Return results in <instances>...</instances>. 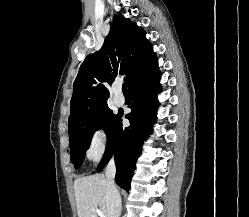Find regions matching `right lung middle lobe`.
<instances>
[{
  "mask_svg": "<svg viewBox=\"0 0 249 217\" xmlns=\"http://www.w3.org/2000/svg\"><path fill=\"white\" fill-rule=\"evenodd\" d=\"M117 118L118 114H113L107 103H104L69 119L71 163L79 168L90 145L93 133L103 128L108 136Z\"/></svg>",
  "mask_w": 249,
  "mask_h": 217,
  "instance_id": "1",
  "label": "right lung middle lobe"
}]
</instances>
